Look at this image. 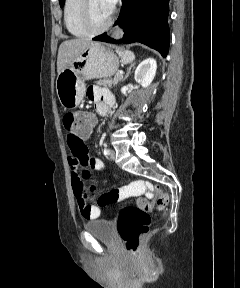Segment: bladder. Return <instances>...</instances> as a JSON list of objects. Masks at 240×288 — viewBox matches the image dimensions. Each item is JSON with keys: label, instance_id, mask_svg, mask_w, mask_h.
<instances>
[{"label": "bladder", "instance_id": "bladder-1", "mask_svg": "<svg viewBox=\"0 0 240 288\" xmlns=\"http://www.w3.org/2000/svg\"><path fill=\"white\" fill-rule=\"evenodd\" d=\"M84 229L96 238L113 243L116 239L115 225L110 220L98 219L84 224Z\"/></svg>", "mask_w": 240, "mask_h": 288}]
</instances>
